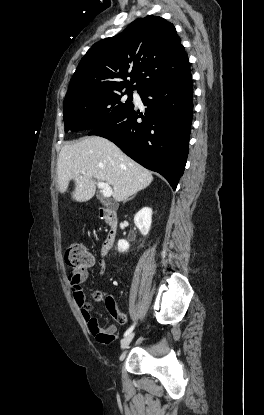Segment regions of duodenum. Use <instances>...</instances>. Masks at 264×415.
<instances>
[{
    "instance_id": "1",
    "label": "duodenum",
    "mask_w": 264,
    "mask_h": 415,
    "mask_svg": "<svg viewBox=\"0 0 264 415\" xmlns=\"http://www.w3.org/2000/svg\"><path fill=\"white\" fill-rule=\"evenodd\" d=\"M99 217L107 225V234L102 244V254L106 255L112 248L119 230V219L117 212L106 205L98 208Z\"/></svg>"
}]
</instances>
